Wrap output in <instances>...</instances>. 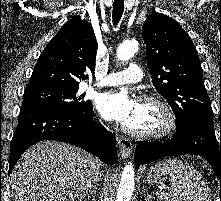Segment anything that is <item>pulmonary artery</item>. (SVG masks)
<instances>
[{
	"label": "pulmonary artery",
	"instance_id": "e3ab8cb5",
	"mask_svg": "<svg viewBox=\"0 0 221 201\" xmlns=\"http://www.w3.org/2000/svg\"><path fill=\"white\" fill-rule=\"evenodd\" d=\"M143 77V72L137 64L130 65L127 69L105 76L94 86H115L121 84H131L139 82Z\"/></svg>",
	"mask_w": 221,
	"mask_h": 201
}]
</instances>
